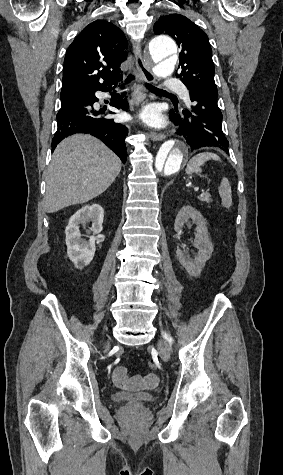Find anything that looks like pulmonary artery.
Returning a JSON list of instances; mask_svg holds the SVG:
<instances>
[{"label":"pulmonary artery","instance_id":"obj_1","mask_svg":"<svg viewBox=\"0 0 283 475\" xmlns=\"http://www.w3.org/2000/svg\"><path fill=\"white\" fill-rule=\"evenodd\" d=\"M163 86L165 89H172L173 86L177 87L176 94L178 96H183L186 100H189V89L184 87L179 81L174 84L172 80H165Z\"/></svg>","mask_w":283,"mask_h":475}]
</instances>
